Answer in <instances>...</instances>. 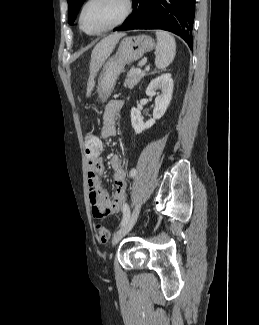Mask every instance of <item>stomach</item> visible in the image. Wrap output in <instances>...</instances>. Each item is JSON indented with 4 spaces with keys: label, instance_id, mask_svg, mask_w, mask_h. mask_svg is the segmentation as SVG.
<instances>
[{
    "label": "stomach",
    "instance_id": "0dacf381",
    "mask_svg": "<svg viewBox=\"0 0 259 325\" xmlns=\"http://www.w3.org/2000/svg\"><path fill=\"white\" fill-rule=\"evenodd\" d=\"M155 47L154 40L148 35L125 37L119 44L115 55L110 57L103 66L98 79V95L104 101L114 89L118 76L125 65L139 60L144 53Z\"/></svg>",
    "mask_w": 259,
    "mask_h": 325
}]
</instances>
